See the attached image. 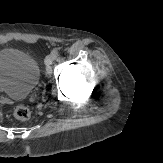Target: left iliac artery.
<instances>
[{"instance_id":"1","label":"left iliac artery","mask_w":163,"mask_h":163,"mask_svg":"<svg viewBox=\"0 0 163 163\" xmlns=\"http://www.w3.org/2000/svg\"><path fill=\"white\" fill-rule=\"evenodd\" d=\"M58 48H55V49H53V51H52V53H54L55 55H58Z\"/></svg>"}]
</instances>
